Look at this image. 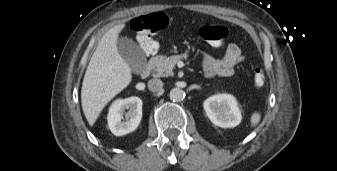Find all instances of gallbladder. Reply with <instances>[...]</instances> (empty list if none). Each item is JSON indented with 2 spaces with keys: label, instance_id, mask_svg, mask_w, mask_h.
I'll use <instances>...</instances> for the list:
<instances>
[{
  "label": "gallbladder",
  "instance_id": "gallbladder-1",
  "mask_svg": "<svg viewBox=\"0 0 337 171\" xmlns=\"http://www.w3.org/2000/svg\"><path fill=\"white\" fill-rule=\"evenodd\" d=\"M117 47L119 54L128 63L134 73L140 74L145 69V56L133 40L122 37L118 40Z\"/></svg>",
  "mask_w": 337,
  "mask_h": 171
}]
</instances>
